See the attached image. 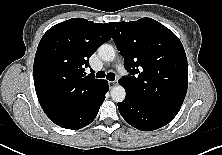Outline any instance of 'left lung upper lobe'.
<instances>
[{"instance_id": "obj_1", "label": "left lung upper lobe", "mask_w": 222, "mask_h": 155, "mask_svg": "<svg viewBox=\"0 0 222 155\" xmlns=\"http://www.w3.org/2000/svg\"><path fill=\"white\" fill-rule=\"evenodd\" d=\"M129 77L127 94L179 111L188 87L187 58L179 38L151 18L109 23Z\"/></svg>"}]
</instances>
